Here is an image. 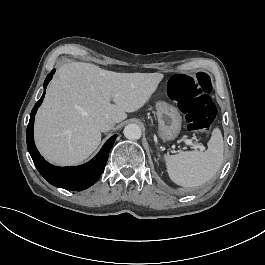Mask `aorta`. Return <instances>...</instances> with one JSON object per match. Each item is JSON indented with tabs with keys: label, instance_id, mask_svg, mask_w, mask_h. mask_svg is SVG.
<instances>
[{
	"label": "aorta",
	"instance_id": "1",
	"mask_svg": "<svg viewBox=\"0 0 265 265\" xmlns=\"http://www.w3.org/2000/svg\"><path fill=\"white\" fill-rule=\"evenodd\" d=\"M123 133L128 140H138L141 137V129L136 124H128L125 126Z\"/></svg>",
	"mask_w": 265,
	"mask_h": 265
}]
</instances>
